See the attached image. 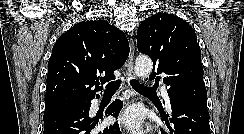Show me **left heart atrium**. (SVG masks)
I'll list each match as a JSON object with an SVG mask.
<instances>
[{"label":"left heart atrium","mask_w":244,"mask_h":134,"mask_svg":"<svg viewBox=\"0 0 244 134\" xmlns=\"http://www.w3.org/2000/svg\"><path fill=\"white\" fill-rule=\"evenodd\" d=\"M118 121L133 133L140 134L143 126V115L139 108L131 107L119 116Z\"/></svg>","instance_id":"left-heart-atrium-1"}]
</instances>
